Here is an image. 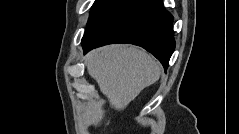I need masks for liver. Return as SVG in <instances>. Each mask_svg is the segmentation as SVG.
<instances>
[{
  "label": "liver",
  "mask_w": 239,
  "mask_h": 134,
  "mask_svg": "<svg viewBox=\"0 0 239 134\" xmlns=\"http://www.w3.org/2000/svg\"><path fill=\"white\" fill-rule=\"evenodd\" d=\"M86 66L112 108L124 110L161 74L160 64L133 46L109 45L88 53Z\"/></svg>",
  "instance_id": "obj_1"
}]
</instances>
